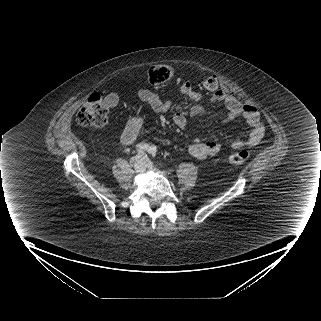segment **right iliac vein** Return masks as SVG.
Returning a JSON list of instances; mask_svg holds the SVG:
<instances>
[{
  "label": "right iliac vein",
  "mask_w": 321,
  "mask_h": 321,
  "mask_svg": "<svg viewBox=\"0 0 321 321\" xmlns=\"http://www.w3.org/2000/svg\"><path fill=\"white\" fill-rule=\"evenodd\" d=\"M131 163H133L134 169L137 173H142L145 171L146 165L142 156H136L135 158H132Z\"/></svg>",
  "instance_id": "1"
}]
</instances>
